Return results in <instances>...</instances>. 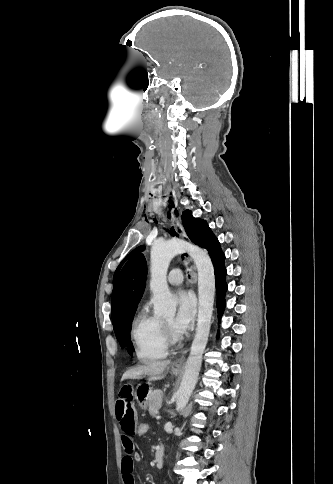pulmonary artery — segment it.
Returning a JSON list of instances; mask_svg holds the SVG:
<instances>
[{
    "label": "pulmonary artery",
    "mask_w": 333,
    "mask_h": 484,
    "mask_svg": "<svg viewBox=\"0 0 333 484\" xmlns=\"http://www.w3.org/2000/svg\"><path fill=\"white\" fill-rule=\"evenodd\" d=\"M167 281L171 285H180L183 281V275L180 269L175 268L170 271Z\"/></svg>",
    "instance_id": "1"
}]
</instances>
